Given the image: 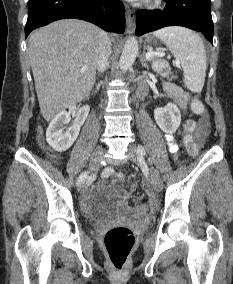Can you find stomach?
<instances>
[{
  "instance_id": "1",
  "label": "stomach",
  "mask_w": 233,
  "mask_h": 284,
  "mask_svg": "<svg viewBox=\"0 0 233 284\" xmlns=\"http://www.w3.org/2000/svg\"><path fill=\"white\" fill-rule=\"evenodd\" d=\"M154 40V38L152 36H147L146 37V41L149 42V43H152Z\"/></svg>"
}]
</instances>
